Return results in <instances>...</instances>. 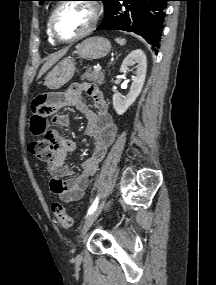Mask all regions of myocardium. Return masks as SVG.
I'll use <instances>...</instances> for the list:
<instances>
[{
    "mask_svg": "<svg viewBox=\"0 0 216 285\" xmlns=\"http://www.w3.org/2000/svg\"><path fill=\"white\" fill-rule=\"evenodd\" d=\"M69 3H84V4L88 5L92 10L93 16H92L91 23L82 33H80L76 36H73L71 38H62L57 34V32L55 30V19H56L58 12L60 11V9ZM99 18H100V8L96 2H93L92 0H84L83 2H72L70 0H67V1L59 3L54 8L53 12L51 13L50 18H49L50 34L56 42L73 43V42L79 41V40L87 37L89 34H91L93 32V30L96 28L98 21H99Z\"/></svg>",
    "mask_w": 216,
    "mask_h": 285,
    "instance_id": "obj_1",
    "label": "myocardium"
}]
</instances>
